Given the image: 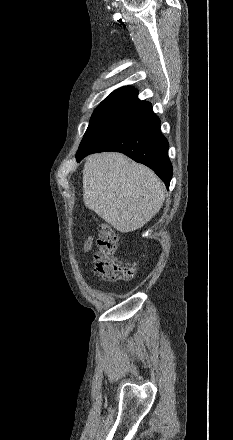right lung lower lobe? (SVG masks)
Instances as JSON below:
<instances>
[{"instance_id": "right-lung-lower-lobe-1", "label": "right lung lower lobe", "mask_w": 233, "mask_h": 440, "mask_svg": "<svg viewBox=\"0 0 233 440\" xmlns=\"http://www.w3.org/2000/svg\"><path fill=\"white\" fill-rule=\"evenodd\" d=\"M168 148L151 104L136 99L83 138L76 158L80 161L88 154L102 151L122 152L150 167L168 188L173 174Z\"/></svg>"}]
</instances>
